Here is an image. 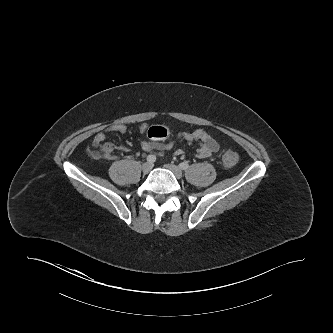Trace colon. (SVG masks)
Masks as SVG:
<instances>
[{
	"instance_id": "colon-1",
	"label": "colon",
	"mask_w": 333,
	"mask_h": 333,
	"mask_svg": "<svg viewBox=\"0 0 333 333\" xmlns=\"http://www.w3.org/2000/svg\"><path fill=\"white\" fill-rule=\"evenodd\" d=\"M169 134L170 131L166 127L160 125L151 126L147 130V135L155 140H164L169 136ZM91 156L94 159L100 158L102 156V152L100 149L94 148L91 150ZM222 162L228 167L234 166L238 162V154L233 150H226L222 154Z\"/></svg>"
}]
</instances>
